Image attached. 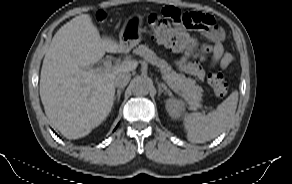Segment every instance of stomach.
<instances>
[{
	"instance_id": "stomach-1",
	"label": "stomach",
	"mask_w": 292,
	"mask_h": 184,
	"mask_svg": "<svg viewBox=\"0 0 292 184\" xmlns=\"http://www.w3.org/2000/svg\"><path fill=\"white\" fill-rule=\"evenodd\" d=\"M142 22V18L138 14L130 16L124 23L120 32V43L127 46L128 48H133L142 39V33L140 31L139 25Z\"/></svg>"
}]
</instances>
